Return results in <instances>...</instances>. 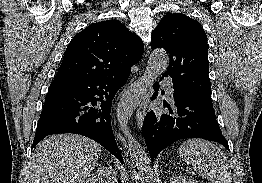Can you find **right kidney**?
Returning <instances> with one entry per match:
<instances>
[{"label": "right kidney", "instance_id": "ca27d5eb", "mask_svg": "<svg viewBox=\"0 0 262 183\" xmlns=\"http://www.w3.org/2000/svg\"><path fill=\"white\" fill-rule=\"evenodd\" d=\"M84 183H118L116 173L111 167L101 168L89 176Z\"/></svg>", "mask_w": 262, "mask_h": 183}]
</instances>
